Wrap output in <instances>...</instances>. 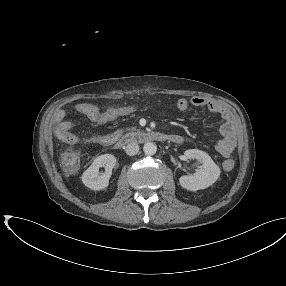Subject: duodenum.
Returning a JSON list of instances; mask_svg holds the SVG:
<instances>
[{
	"label": "duodenum",
	"mask_w": 286,
	"mask_h": 286,
	"mask_svg": "<svg viewBox=\"0 0 286 286\" xmlns=\"http://www.w3.org/2000/svg\"><path fill=\"white\" fill-rule=\"evenodd\" d=\"M150 141H170L176 144H181L183 142V137L176 134H168L158 131H140L131 132L129 134L120 137L115 141V147L117 149L132 143V142H150Z\"/></svg>",
	"instance_id": "obj_1"
}]
</instances>
